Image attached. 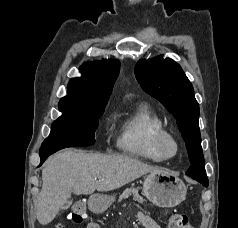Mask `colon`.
<instances>
[{"label":"colon","instance_id":"5ec220e1","mask_svg":"<svg viewBox=\"0 0 238 228\" xmlns=\"http://www.w3.org/2000/svg\"><path fill=\"white\" fill-rule=\"evenodd\" d=\"M165 214L167 216L168 228H192L190 219L187 215L177 212H165ZM85 218V201L82 199L75 201L71 206V212L68 219L75 224H80Z\"/></svg>","mask_w":238,"mask_h":228}]
</instances>
